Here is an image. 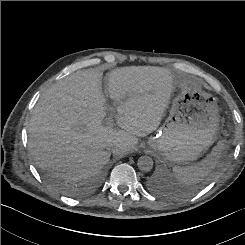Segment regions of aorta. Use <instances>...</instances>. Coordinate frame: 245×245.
<instances>
[{
	"label": "aorta",
	"mask_w": 245,
	"mask_h": 245,
	"mask_svg": "<svg viewBox=\"0 0 245 245\" xmlns=\"http://www.w3.org/2000/svg\"><path fill=\"white\" fill-rule=\"evenodd\" d=\"M137 166L142 172H149L153 168V160L150 156H141L138 159Z\"/></svg>",
	"instance_id": "aorta-1"
}]
</instances>
